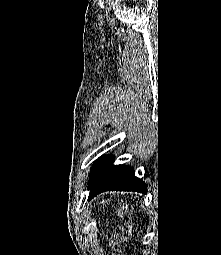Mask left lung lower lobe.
Wrapping results in <instances>:
<instances>
[{"label": "left lung lower lobe", "mask_w": 221, "mask_h": 255, "mask_svg": "<svg viewBox=\"0 0 221 255\" xmlns=\"http://www.w3.org/2000/svg\"><path fill=\"white\" fill-rule=\"evenodd\" d=\"M112 163L111 155L103 156L95 161L90 171L89 199L107 190L146 193L145 183L135 177L132 167L113 166Z\"/></svg>", "instance_id": "0a47b994"}]
</instances>
